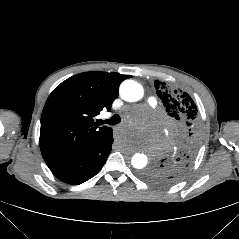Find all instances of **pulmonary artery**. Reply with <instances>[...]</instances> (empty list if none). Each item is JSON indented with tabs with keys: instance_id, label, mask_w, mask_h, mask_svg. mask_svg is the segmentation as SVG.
Wrapping results in <instances>:
<instances>
[{
	"instance_id": "obj_1",
	"label": "pulmonary artery",
	"mask_w": 239,
	"mask_h": 239,
	"mask_svg": "<svg viewBox=\"0 0 239 239\" xmlns=\"http://www.w3.org/2000/svg\"><path fill=\"white\" fill-rule=\"evenodd\" d=\"M147 103L152 108L156 107V105H157V101H156V99L154 97H149L147 99Z\"/></svg>"
}]
</instances>
